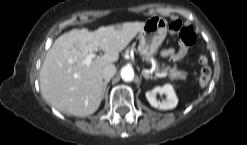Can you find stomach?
I'll list each match as a JSON object with an SVG mask.
<instances>
[{
    "label": "stomach",
    "instance_id": "stomach-1",
    "mask_svg": "<svg viewBox=\"0 0 247 145\" xmlns=\"http://www.w3.org/2000/svg\"><path fill=\"white\" fill-rule=\"evenodd\" d=\"M168 22L159 16H152L145 21L139 33L138 51L144 59L150 60L157 52L167 35Z\"/></svg>",
    "mask_w": 247,
    "mask_h": 145
}]
</instances>
